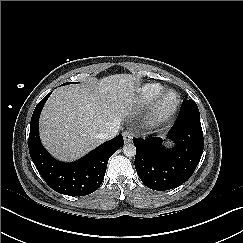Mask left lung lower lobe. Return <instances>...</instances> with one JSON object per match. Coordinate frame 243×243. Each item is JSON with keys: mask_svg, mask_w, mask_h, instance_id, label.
<instances>
[{"mask_svg": "<svg viewBox=\"0 0 243 243\" xmlns=\"http://www.w3.org/2000/svg\"><path fill=\"white\" fill-rule=\"evenodd\" d=\"M168 137L175 143L172 149H166L159 137L145 140L133 138L137 150L134 162L137 174L153 190L176 188L186 182L195 171L204 148L197 106L182 104Z\"/></svg>", "mask_w": 243, "mask_h": 243, "instance_id": "obj_1", "label": "left lung lower lobe"}]
</instances>
